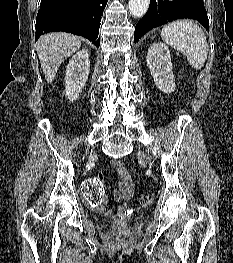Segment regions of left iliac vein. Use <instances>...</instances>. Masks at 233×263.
<instances>
[{"instance_id": "obj_1", "label": "left iliac vein", "mask_w": 233, "mask_h": 263, "mask_svg": "<svg viewBox=\"0 0 233 263\" xmlns=\"http://www.w3.org/2000/svg\"><path fill=\"white\" fill-rule=\"evenodd\" d=\"M138 157L144 159L145 155L141 151H139L138 152Z\"/></svg>"}]
</instances>
